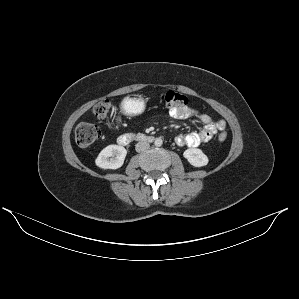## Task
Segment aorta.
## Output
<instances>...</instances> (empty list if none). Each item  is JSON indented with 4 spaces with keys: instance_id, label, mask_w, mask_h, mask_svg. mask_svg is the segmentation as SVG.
<instances>
[{
    "instance_id": "aorta-1",
    "label": "aorta",
    "mask_w": 299,
    "mask_h": 299,
    "mask_svg": "<svg viewBox=\"0 0 299 299\" xmlns=\"http://www.w3.org/2000/svg\"><path fill=\"white\" fill-rule=\"evenodd\" d=\"M163 144V140L161 138H156L154 141V145L160 147Z\"/></svg>"
}]
</instances>
